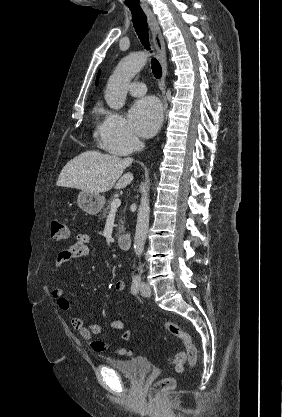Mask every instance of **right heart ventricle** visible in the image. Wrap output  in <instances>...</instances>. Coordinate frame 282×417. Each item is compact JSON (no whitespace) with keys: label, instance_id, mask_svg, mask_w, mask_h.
<instances>
[{"label":"right heart ventricle","instance_id":"1","mask_svg":"<svg viewBox=\"0 0 282 417\" xmlns=\"http://www.w3.org/2000/svg\"><path fill=\"white\" fill-rule=\"evenodd\" d=\"M95 112H96L97 118H98L97 131L101 133V129H102V126H103V123H104L106 117L108 116V112L105 111L101 107H97Z\"/></svg>","mask_w":282,"mask_h":417}]
</instances>
